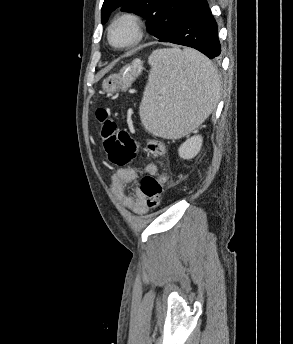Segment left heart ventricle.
Masks as SVG:
<instances>
[{
  "label": "left heart ventricle",
  "mask_w": 293,
  "mask_h": 344,
  "mask_svg": "<svg viewBox=\"0 0 293 344\" xmlns=\"http://www.w3.org/2000/svg\"><path fill=\"white\" fill-rule=\"evenodd\" d=\"M133 38L132 28L128 24H120L112 32L113 42L121 45L129 42Z\"/></svg>",
  "instance_id": "b2bd125f"
}]
</instances>
